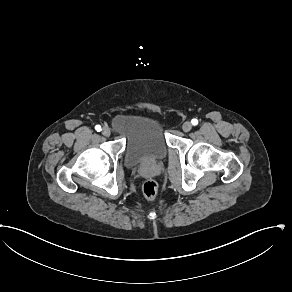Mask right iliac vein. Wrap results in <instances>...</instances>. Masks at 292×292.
<instances>
[{"mask_svg":"<svg viewBox=\"0 0 292 292\" xmlns=\"http://www.w3.org/2000/svg\"><path fill=\"white\" fill-rule=\"evenodd\" d=\"M102 134H103L104 136H106V137H109L110 134H111V130H110V128H109V127H103V128H102Z\"/></svg>","mask_w":292,"mask_h":292,"instance_id":"1","label":"right iliac vein"}]
</instances>
